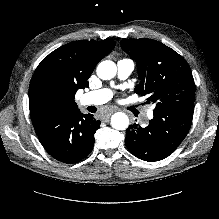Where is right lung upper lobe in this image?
<instances>
[{
    "mask_svg": "<svg viewBox=\"0 0 219 219\" xmlns=\"http://www.w3.org/2000/svg\"><path fill=\"white\" fill-rule=\"evenodd\" d=\"M111 39L75 41L45 57L29 85L31 117L40 113H65L78 109L75 93L89 86L88 78L97 63L115 47ZM59 110L58 112L53 111Z\"/></svg>",
    "mask_w": 219,
    "mask_h": 219,
    "instance_id": "right-lung-upper-lobe-1",
    "label": "right lung upper lobe"
}]
</instances>
